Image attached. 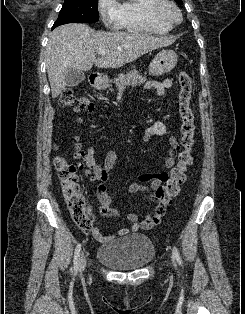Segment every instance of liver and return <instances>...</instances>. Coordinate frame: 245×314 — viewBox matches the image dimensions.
Returning <instances> with one entry per match:
<instances>
[{
	"instance_id": "6515ba94",
	"label": "liver",
	"mask_w": 245,
	"mask_h": 314,
	"mask_svg": "<svg viewBox=\"0 0 245 314\" xmlns=\"http://www.w3.org/2000/svg\"><path fill=\"white\" fill-rule=\"evenodd\" d=\"M173 42L174 39L139 32H96L86 24L59 26L50 33L45 49L52 98L65 89L69 69L88 71L93 64L98 68H119ZM98 51L106 54L96 59Z\"/></svg>"
}]
</instances>
